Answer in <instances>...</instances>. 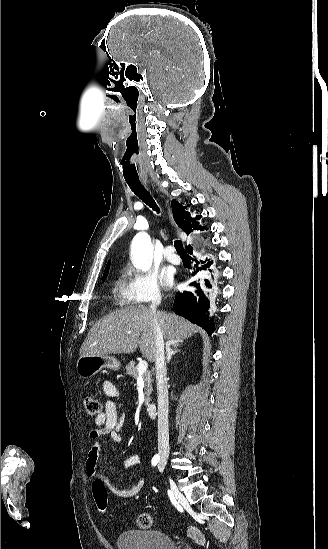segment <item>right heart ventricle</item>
I'll use <instances>...</instances> for the list:
<instances>
[{"label": "right heart ventricle", "instance_id": "obj_1", "mask_svg": "<svg viewBox=\"0 0 328 549\" xmlns=\"http://www.w3.org/2000/svg\"><path fill=\"white\" fill-rule=\"evenodd\" d=\"M112 303H136L129 295L125 281L117 279L112 289Z\"/></svg>", "mask_w": 328, "mask_h": 549}]
</instances>
